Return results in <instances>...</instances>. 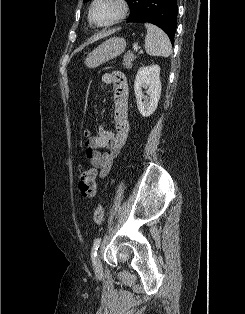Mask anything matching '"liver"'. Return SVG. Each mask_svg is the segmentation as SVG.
Instances as JSON below:
<instances>
[{
  "label": "liver",
  "instance_id": "liver-1",
  "mask_svg": "<svg viewBox=\"0 0 245 314\" xmlns=\"http://www.w3.org/2000/svg\"><path fill=\"white\" fill-rule=\"evenodd\" d=\"M110 34H111L110 31H108V32H101V33H99L96 37H94V38L90 41V43L95 42V41H97V40H99V39H101V38H103V37H106V36H108V35H110ZM87 44H88V43H87Z\"/></svg>",
  "mask_w": 245,
  "mask_h": 314
}]
</instances>
